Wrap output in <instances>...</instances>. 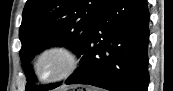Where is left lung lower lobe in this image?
<instances>
[{"instance_id": "0a47b994", "label": "left lung lower lobe", "mask_w": 173, "mask_h": 91, "mask_svg": "<svg viewBox=\"0 0 173 91\" xmlns=\"http://www.w3.org/2000/svg\"><path fill=\"white\" fill-rule=\"evenodd\" d=\"M149 19L146 0H108L83 48L80 68L65 84L147 91Z\"/></svg>"}]
</instances>
